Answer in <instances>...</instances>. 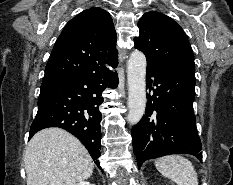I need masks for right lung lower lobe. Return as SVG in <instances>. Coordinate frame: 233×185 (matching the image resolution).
I'll list each match as a JSON object with an SVG mask.
<instances>
[{"mask_svg": "<svg viewBox=\"0 0 233 185\" xmlns=\"http://www.w3.org/2000/svg\"><path fill=\"white\" fill-rule=\"evenodd\" d=\"M117 85V73L108 68L42 82L38 112L29 139L47 127L63 128L84 144L99 166L102 117L98 108L103 102L101 93L104 89L116 88Z\"/></svg>", "mask_w": 233, "mask_h": 185, "instance_id": "1", "label": "right lung lower lobe"}]
</instances>
